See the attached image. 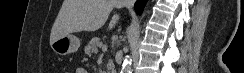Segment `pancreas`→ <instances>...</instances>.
I'll list each match as a JSON object with an SVG mask.
<instances>
[{
  "label": "pancreas",
  "instance_id": "cf45deb5",
  "mask_svg": "<svg viewBox=\"0 0 244 73\" xmlns=\"http://www.w3.org/2000/svg\"><path fill=\"white\" fill-rule=\"evenodd\" d=\"M103 46V43L100 41L99 38L95 37L93 38L85 47V53L88 55L96 54L98 53V49ZM113 63L110 60L107 64V67H112Z\"/></svg>",
  "mask_w": 244,
  "mask_h": 73
}]
</instances>
